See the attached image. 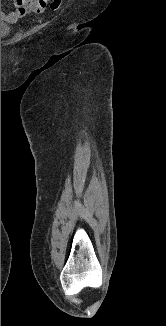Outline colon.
<instances>
[{
  "label": "colon",
  "instance_id": "colon-1",
  "mask_svg": "<svg viewBox=\"0 0 166 326\" xmlns=\"http://www.w3.org/2000/svg\"><path fill=\"white\" fill-rule=\"evenodd\" d=\"M62 0H52L50 3V9L51 10H56L59 8L60 4H61Z\"/></svg>",
  "mask_w": 166,
  "mask_h": 326
}]
</instances>
